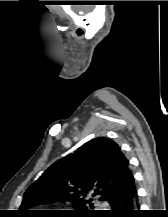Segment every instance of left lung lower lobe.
Masks as SVG:
<instances>
[{"mask_svg":"<svg viewBox=\"0 0 168 217\" xmlns=\"http://www.w3.org/2000/svg\"><path fill=\"white\" fill-rule=\"evenodd\" d=\"M112 210L101 212L104 216L139 217L137 191L134 177L106 199Z\"/></svg>","mask_w":168,"mask_h":217,"instance_id":"left-lung-lower-lobe-1","label":"left lung lower lobe"}]
</instances>
